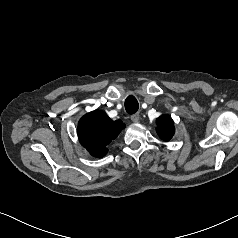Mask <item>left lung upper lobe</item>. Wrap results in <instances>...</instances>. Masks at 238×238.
Here are the masks:
<instances>
[{
	"label": "left lung upper lobe",
	"mask_w": 238,
	"mask_h": 238,
	"mask_svg": "<svg viewBox=\"0 0 238 238\" xmlns=\"http://www.w3.org/2000/svg\"><path fill=\"white\" fill-rule=\"evenodd\" d=\"M156 123L158 125L156 131L159 137L164 141H169L175 133L174 122L171 117L167 114L161 115L157 118Z\"/></svg>",
	"instance_id": "5c2ea615"
}]
</instances>
